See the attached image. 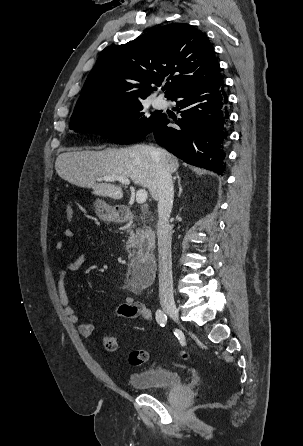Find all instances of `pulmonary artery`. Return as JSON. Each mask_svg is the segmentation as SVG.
<instances>
[{
    "label": "pulmonary artery",
    "instance_id": "obj_1",
    "mask_svg": "<svg viewBox=\"0 0 303 446\" xmlns=\"http://www.w3.org/2000/svg\"><path fill=\"white\" fill-rule=\"evenodd\" d=\"M154 106L157 108H162L165 106V101L158 98L154 101Z\"/></svg>",
    "mask_w": 303,
    "mask_h": 446
}]
</instances>
